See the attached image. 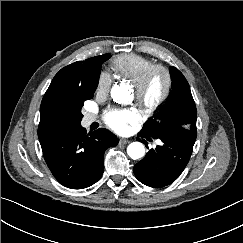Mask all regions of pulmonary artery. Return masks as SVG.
<instances>
[{"instance_id": "e3ab8cb5", "label": "pulmonary artery", "mask_w": 243, "mask_h": 243, "mask_svg": "<svg viewBox=\"0 0 243 243\" xmlns=\"http://www.w3.org/2000/svg\"><path fill=\"white\" fill-rule=\"evenodd\" d=\"M95 118L96 117L94 115H90V114L86 115L83 119L84 125L86 126L90 125L93 121H95Z\"/></svg>"}]
</instances>
